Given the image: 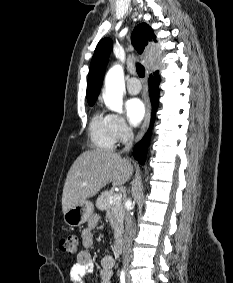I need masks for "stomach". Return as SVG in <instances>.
<instances>
[{
    "label": "stomach",
    "mask_w": 233,
    "mask_h": 283,
    "mask_svg": "<svg viewBox=\"0 0 233 283\" xmlns=\"http://www.w3.org/2000/svg\"><path fill=\"white\" fill-rule=\"evenodd\" d=\"M94 205L90 201H84L64 214V221L71 227H78L84 224L93 214Z\"/></svg>",
    "instance_id": "1"
}]
</instances>
